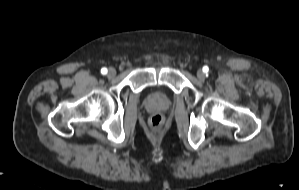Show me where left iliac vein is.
<instances>
[{"instance_id": "1", "label": "left iliac vein", "mask_w": 299, "mask_h": 190, "mask_svg": "<svg viewBox=\"0 0 299 190\" xmlns=\"http://www.w3.org/2000/svg\"><path fill=\"white\" fill-rule=\"evenodd\" d=\"M197 78L200 80V81H203L205 79V73L204 71L202 70H198L197 71Z\"/></svg>"}]
</instances>
